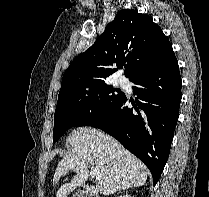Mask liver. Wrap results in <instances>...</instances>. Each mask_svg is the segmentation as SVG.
I'll return each mask as SVG.
<instances>
[{
	"mask_svg": "<svg viewBox=\"0 0 209 197\" xmlns=\"http://www.w3.org/2000/svg\"><path fill=\"white\" fill-rule=\"evenodd\" d=\"M67 143L72 152L59 162L53 183L56 184L69 171H75L76 176L58 189L56 197H67L83 185L89 177L90 166L101 172L102 178L98 180L96 190L105 196L146 183L148 172L145 165L104 132L90 127L78 128L68 136Z\"/></svg>",
	"mask_w": 209,
	"mask_h": 197,
	"instance_id": "liver-1",
	"label": "liver"
}]
</instances>
